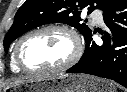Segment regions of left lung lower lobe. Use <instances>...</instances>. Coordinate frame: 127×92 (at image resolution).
I'll use <instances>...</instances> for the list:
<instances>
[{"mask_svg":"<svg viewBox=\"0 0 127 92\" xmlns=\"http://www.w3.org/2000/svg\"><path fill=\"white\" fill-rule=\"evenodd\" d=\"M104 11L108 31L103 33V45L92 41L93 32L89 34L80 61L66 72L108 78L127 87V0H117Z\"/></svg>","mask_w":127,"mask_h":92,"instance_id":"0a47b994","label":"left lung lower lobe"}]
</instances>
